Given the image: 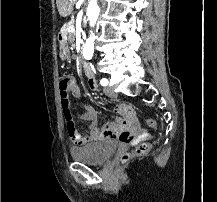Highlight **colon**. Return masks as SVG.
<instances>
[{
  "label": "colon",
  "mask_w": 217,
  "mask_h": 202,
  "mask_svg": "<svg viewBox=\"0 0 217 202\" xmlns=\"http://www.w3.org/2000/svg\"><path fill=\"white\" fill-rule=\"evenodd\" d=\"M72 83L70 79H62L59 84L60 89V102L61 107L63 111V117L65 121V126L67 131H76L75 123L73 120V114L71 110V97H70V87ZM146 126H154V118H146ZM149 136H147V139L144 140L146 142L140 143L138 145V148L135 151V154L138 156H141L145 154L149 150ZM129 159V155L123 156V161H127Z\"/></svg>",
  "instance_id": "obj_1"
}]
</instances>
